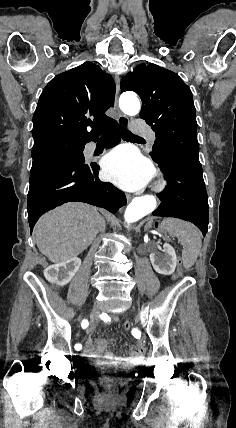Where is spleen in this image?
Segmentation results:
<instances>
[{
    "mask_svg": "<svg viewBox=\"0 0 236 428\" xmlns=\"http://www.w3.org/2000/svg\"><path fill=\"white\" fill-rule=\"evenodd\" d=\"M161 230L168 232L170 236H175L181 242L183 266L189 270L195 264L202 246L198 228L190 222H183L177 218H165L161 224Z\"/></svg>",
    "mask_w": 236,
    "mask_h": 428,
    "instance_id": "3e777b00",
    "label": "spleen"
}]
</instances>
